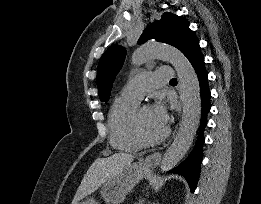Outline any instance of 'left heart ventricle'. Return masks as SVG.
Segmentation results:
<instances>
[{"mask_svg":"<svg viewBox=\"0 0 261 204\" xmlns=\"http://www.w3.org/2000/svg\"><path fill=\"white\" fill-rule=\"evenodd\" d=\"M140 120L144 132L149 137H157L165 130L157 124L151 107H146L141 111Z\"/></svg>","mask_w":261,"mask_h":204,"instance_id":"b2bd125f","label":"left heart ventricle"}]
</instances>
